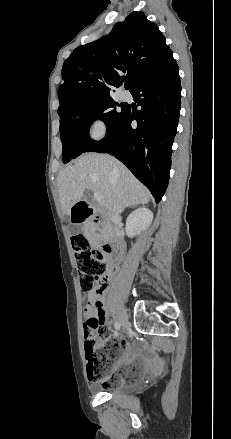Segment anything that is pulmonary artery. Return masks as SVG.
Listing matches in <instances>:
<instances>
[{
  "instance_id": "e3ab8cb5",
  "label": "pulmonary artery",
  "mask_w": 231,
  "mask_h": 439,
  "mask_svg": "<svg viewBox=\"0 0 231 439\" xmlns=\"http://www.w3.org/2000/svg\"><path fill=\"white\" fill-rule=\"evenodd\" d=\"M120 97H121L122 100H124V101H128V100L131 99V94H130L129 91H127V90H123V91H121V93H120Z\"/></svg>"
}]
</instances>
